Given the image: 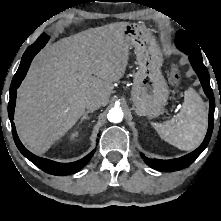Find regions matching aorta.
Here are the masks:
<instances>
[{
	"label": "aorta",
	"mask_w": 221,
	"mask_h": 221,
	"mask_svg": "<svg viewBox=\"0 0 221 221\" xmlns=\"http://www.w3.org/2000/svg\"><path fill=\"white\" fill-rule=\"evenodd\" d=\"M123 111L120 108L113 107L109 110V113L107 114V118L112 123H119L123 119Z\"/></svg>",
	"instance_id": "1"
}]
</instances>
